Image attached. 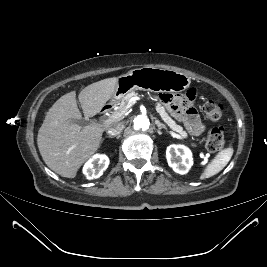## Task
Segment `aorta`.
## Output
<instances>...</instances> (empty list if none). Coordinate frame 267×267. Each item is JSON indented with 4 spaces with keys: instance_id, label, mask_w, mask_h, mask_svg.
Returning <instances> with one entry per match:
<instances>
[{
    "instance_id": "1",
    "label": "aorta",
    "mask_w": 267,
    "mask_h": 267,
    "mask_svg": "<svg viewBox=\"0 0 267 267\" xmlns=\"http://www.w3.org/2000/svg\"><path fill=\"white\" fill-rule=\"evenodd\" d=\"M150 126L149 118L146 115H138L133 120L135 130H147Z\"/></svg>"
}]
</instances>
